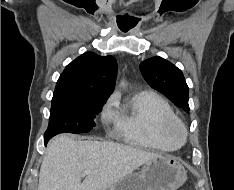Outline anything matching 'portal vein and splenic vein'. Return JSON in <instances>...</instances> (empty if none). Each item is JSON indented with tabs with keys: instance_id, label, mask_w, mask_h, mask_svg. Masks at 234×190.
I'll return each instance as SVG.
<instances>
[{
	"instance_id": "18ae733b",
	"label": "portal vein and splenic vein",
	"mask_w": 234,
	"mask_h": 190,
	"mask_svg": "<svg viewBox=\"0 0 234 190\" xmlns=\"http://www.w3.org/2000/svg\"><path fill=\"white\" fill-rule=\"evenodd\" d=\"M89 173H90L89 171H84V172H83L84 175H87V174H89Z\"/></svg>"
}]
</instances>
